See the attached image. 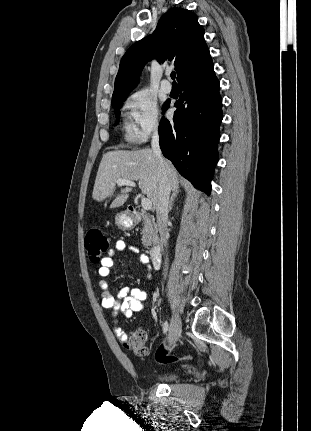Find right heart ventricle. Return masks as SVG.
Instances as JSON below:
<instances>
[{
    "mask_svg": "<svg viewBox=\"0 0 311 431\" xmlns=\"http://www.w3.org/2000/svg\"><path fill=\"white\" fill-rule=\"evenodd\" d=\"M122 135L125 142H134L136 140V134L132 125L127 120H123Z\"/></svg>",
    "mask_w": 311,
    "mask_h": 431,
    "instance_id": "right-heart-ventricle-1",
    "label": "right heart ventricle"
}]
</instances>
